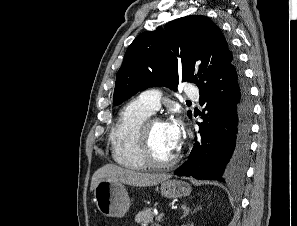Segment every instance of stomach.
<instances>
[{
  "label": "stomach",
  "mask_w": 297,
  "mask_h": 226,
  "mask_svg": "<svg viewBox=\"0 0 297 226\" xmlns=\"http://www.w3.org/2000/svg\"><path fill=\"white\" fill-rule=\"evenodd\" d=\"M159 189L167 198L183 197L191 192L188 183L169 178L160 183ZM94 200L99 211L107 217H123L130 207L127 190L119 181H100L94 189Z\"/></svg>",
  "instance_id": "obj_1"
}]
</instances>
